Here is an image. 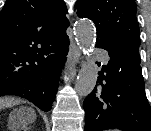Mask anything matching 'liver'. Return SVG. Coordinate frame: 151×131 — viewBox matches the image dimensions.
Wrapping results in <instances>:
<instances>
[{"label": "liver", "mask_w": 151, "mask_h": 131, "mask_svg": "<svg viewBox=\"0 0 151 131\" xmlns=\"http://www.w3.org/2000/svg\"><path fill=\"white\" fill-rule=\"evenodd\" d=\"M5 104L0 103V109L4 106ZM33 120H35V115L33 116Z\"/></svg>", "instance_id": "obj_1"}]
</instances>
